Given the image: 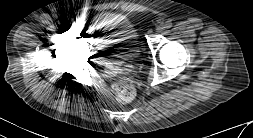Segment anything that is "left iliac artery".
<instances>
[{"label": "left iliac artery", "mask_w": 253, "mask_h": 138, "mask_svg": "<svg viewBox=\"0 0 253 138\" xmlns=\"http://www.w3.org/2000/svg\"><path fill=\"white\" fill-rule=\"evenodd\" d=\"M172 26V23L170 21H167L165 24V28H170Z\"/></svg>", "instance_id": "obj_1"}]
</instances>
